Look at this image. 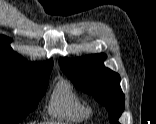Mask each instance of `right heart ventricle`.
Wrapping results in <instances>:
<instances>
[{
  "instance_id": "1",
  "label": "right heart ventricle",
  "mask_w": 156,
  "mask_h": 124,
  "mask_svg": "<svg viewBox=\"0 0 156 124\" xmlns=\"http://www.w3.org/2000/svg\"><path fill=\"white\" fill-rule=\"evenodd\" d=\"M48 113L56 119L80 122L90 116L91 110L74 92L68 81L60 80L51 93Z\"/></svg>"
}]
</instances>
